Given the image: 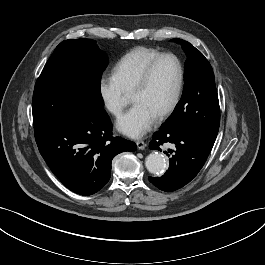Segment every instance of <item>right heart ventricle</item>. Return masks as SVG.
Returning a JSON list of instances; mask_svg holds the SVG:
<instances>
[{
  "instance_id": "right-heart-ventricle-1",
  "label": "right heart ventricle",
  "mask_w": 265,
  "mask_h": 265,
  "mask_svg": "<svg viewBox=\"0 0 265 265\" xmlns=\"http://www.w3.org/2000/svg\"><path fill=\"white\" fill-rule=\"evenodd\" d=\"M161 52L149 47H136L115 64L112 75L126 94H130L146 65Z\"/></svg>"
}]
</instances>
